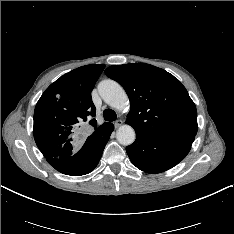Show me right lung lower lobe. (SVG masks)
I'll list each match as a JSON object with an SVG mask.
<instances>
[{
    "mask_svg": "<svg viewBox=\"0 0 234 234\" xmlns=\"http://www.w3.org/2000/svg\"><path fill=\"white\" fill-rule=\"evenodd\" d=\"M113 129L108 123L93 132L75 154L66 158H47L48 163L66 175L80 176L91 172L97 166Z\"/></svg>",
    "mask_w": 234,
    "mask_h": 234,
    "instance_id": "1",
    "label": "right lung lower lobe"
}]
</instances>
